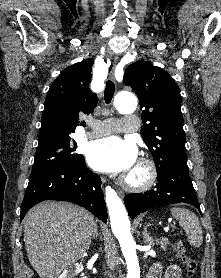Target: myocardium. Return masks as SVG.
I'll list each match as a JSON object with an SVG mask.
<instances>
[{"instance_id": "f54148a6", "label": "myocardium", "mask_w": 221, "mask_h": 278, "mask_svg": "<svg viewBox=\"0 0 221 278\" xmlns=\"http://www.w3.org/2000/svg\"><path fill=\"white\" fill-rule=\"evenodd\" d=\"M136 166L143 171L142 178L134 180L128 175L121 178V184L130 191H146L150 189L157 180L158 171L155 163L148 158H140Z\"/></svg>"}]
</instances>
